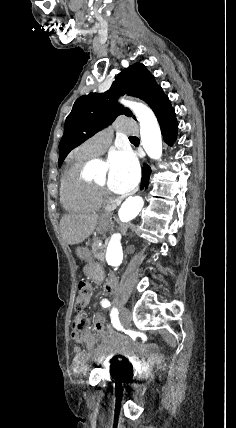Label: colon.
I'll use <instances>...</instances> for the list:
<instances>
[{
    "instance_id": "colon-1",
    "label": "colon",
    "mask_w": 236,
    "mask_h": 428,
    "mask_svg": "<svg viewBox=\"0 0 236 428\" xmlns=\"http://www.w3.org/2000/svg\"><path fill=\"white\" fill-rule=\"evenodd\" d=\"M92 293V287L87 281H80L78 284V295L76 300L75 309L78 313L73 323V331L81 332L84 326V319L81 318L80 313L84 310ZM104 324V319L101 315H95L94 325L101 327Z\"/></svg>"
}]
</instances>
